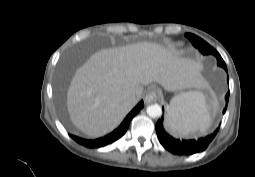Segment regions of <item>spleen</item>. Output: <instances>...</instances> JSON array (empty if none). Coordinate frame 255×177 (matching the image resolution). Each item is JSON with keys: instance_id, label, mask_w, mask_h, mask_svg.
Returning <instances> with one entry per match:
<instances>
[{"instance_id": "1", "label": "spleen", "mask_w": 255, "mask_h": 177, "mask_svg": "<svg viewBox=\"0 0 255 177\" xmlns=\"http://www.w3.org/2000/svg\"><path fill=\"white\" fill-rule=\"evenodd\" d=\"M166 125L178 136H188L196 130L205 132L211 125V116L204 94L195 91L174 97Z\"/></svg>"}]
</instances>
